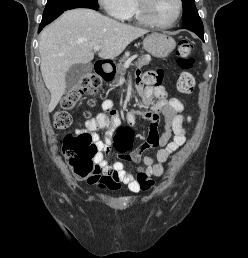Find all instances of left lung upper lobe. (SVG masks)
I'll return each instance as SVG.
<instances>
[{
  "label": "left lung upper lobe",
  "mask_w": 248,
  "mask_h": 258,
  "mask_svg": "<svg viewBox=\"0 0 248 258\" xmlns=\"http://www.w3.org/2000/svg\"><path fill=\"white\" fill-rule=\"evenodd\" d=\"M183 2V25L184 27L188 26H197L203 25L201 18L198 14L197 8L195 6L194 0H182Z\"/></svg>",
  "instance_id": "obj_1"
}]
</instances>
